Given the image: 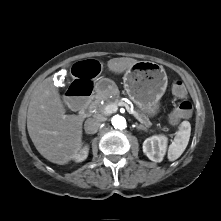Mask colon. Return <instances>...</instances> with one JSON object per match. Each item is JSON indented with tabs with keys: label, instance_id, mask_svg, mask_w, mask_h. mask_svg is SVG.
<instances>
[{
	"label": "colon",
	"instance_id": "1",
	"mask_svg": "<svg viewBox=\"0 0 221 221\" xmlns=\"http://www.w3.org/2000/svg\"><path fill=\"white\" fill-rule=\"evenodd\" d=\"M72 82L65 93V107L69 111H78L88 105V97L93 93L96 85V79L103 75V66L93 60H76L72 64ZM172 92L179 98L186 96V88L181 81H174ZM192 115V104L184 100L172 113V120L178 121L183 118H189Z\"/></svg>",
	"mask_w": 221,
	"mask_h": 221
}]
</instances>
